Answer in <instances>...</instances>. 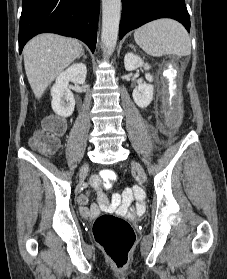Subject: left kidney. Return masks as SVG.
Instances as JSON below:
<instances>
[{
	"label": "left kidney",
	"mask_w": 227,
	"mask_h": 279,
	"mask_svg": "<svg viewBox=\"0 0 227 279\" xmlns=\"http://www.w3.org/2000/svg\"><path fill=\"white\" fill-rule=\"evenodd\" d=\"M124 66L127 71H132L138 67H144L145 70H149L150 66L144 63L142 59L133 53H127L124 57ZM145 78L148 82L153 81V77L150 73L145 74ZM154 86L150 83L139 84L132 93L135 103L140 108L147 107L153 100Z\"/></svg>",
	"instance_id": "1"
}]
</instances>
